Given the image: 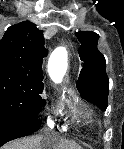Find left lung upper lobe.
<instances>
[{"instance_id":"left-lung-upper-lobe-1","label":"left lung upper lobe","mask_w":124,"mask_h":149,"mask_svg":"<svg viewBox=\"0 0 124 149\" xmlns=\"http://www.w3.org/2000/svg\"><path fill=\"white\" fill-rule=\"evenodd\" d=\"M76 36L81 43L79 56L82 61L77 88L84 99L104 111L107 108L109 79L105 72V58L97 49L99 35L94 32H78Z\"/></svg>"}]
</instances>
